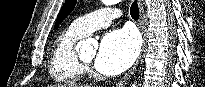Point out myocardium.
I'll list each match as a JSON object with an SVG mask.
<instances>
[{
  "label": "myocardium",
  "instance_id": "1",
  "mask_svg": "<svg viewBox=\"0 0 205 87\" xmlns=\"http://www.w3.org/2000/svg\"><path fill=\"white\" fill-rule=\"evenodd\" d=\"M77 60L83 70H89L91 68V63L85 61L79 54H77Z\"/></svg>",
  "mask_w": 205,
  "mask_h": 87
}]
</instances>
